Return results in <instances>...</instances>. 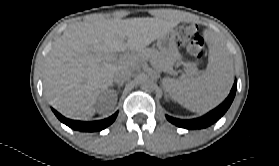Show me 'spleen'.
I'll return each instance as SVG.
<instances>
[{"label": "spleen", "instance_id": "spleen-1", "mask_svg": "<svg viewBox=\"0 0 279 166\" xmlns=\"http://www.w3.org/2000/svg\"><path fill=\"white\" fill-rule=\"evenodd\" d=\"M209 62L201 74L186 78H164L169 95L193 112H204L220 104L232 85V63L221 40L208 35Z\"/></svg>", "mask_w": 279, "mask_h": 166}]
</instances>
